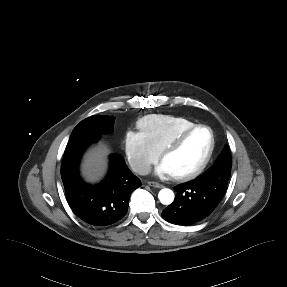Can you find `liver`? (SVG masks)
I'll return each instance as SVG.
<instances>
[{
  "label": "liver",
  "mask_w": 287,
  "mask_h": 287,
  "mask_svg": "<svg viewBox=\"0 0 287 287\" xmlns=\"http://www.w3.org/2000/svg\"><path fill=\"white\" fill-rule=\"evenodd\" d=\"M109 152L110 150L105 144L99 143L85 155L82 172L88 180H98L104 174Z\"/></svg>",
  "instance_id": "1"
}]
</instances>
